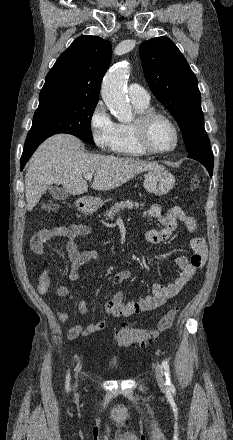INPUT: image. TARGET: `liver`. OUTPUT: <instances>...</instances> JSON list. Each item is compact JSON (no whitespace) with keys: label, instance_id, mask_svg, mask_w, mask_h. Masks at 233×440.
I'll list each match as a JSON object with an SVG mask.
<instances>
[{"label":"liver","instance_id":"1","mask_svg":"<svg viewBox=\"0 0 233 440\" xmlns=\"http://www.w3.org/2000/svg\"><path fill=\"white\" fill-rule=\"evenodd\" d=\"M160 167L156 162L84 152L81 141L70 134L48 138L33 154L25 175L27 210L31 211L52 184L63 185L73 195L88 191L84 175H94L92 188L107 191L134 176Z\"/></svg>","mask_w":233,"mask_h":440}]
</instances>
